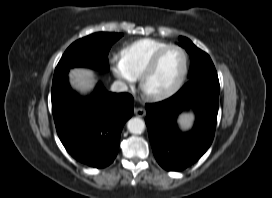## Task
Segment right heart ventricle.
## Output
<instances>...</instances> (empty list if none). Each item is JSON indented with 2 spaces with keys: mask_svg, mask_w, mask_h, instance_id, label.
<instances>
[{
  "mask_svg": "<svg viewBox=\"0 0 272 198\" xmlns=\"http://www.w3.org/2000/svg\"><path fill=\"white\" fill-rule=\"evenodd\" d=\"M167 45L156 39H141L124 47L121 58L131 73L139 77L155 53Z\"/></svg>",
  "mask_w": 272,
  "mask_h": 198,
  "instance_id": "e07e8e85",
  "label": "right heart ventricle"
}]
</instances>
